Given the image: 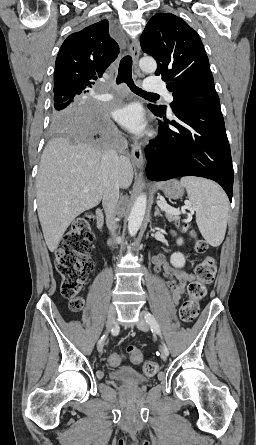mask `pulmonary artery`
<instances>
[{"label": "pulmonary artery", "mask_w": 256, "mask_h": 445, "mask_svg": "<svg viewBox=\"0 0 256 445\" xmlns=\"http://www.w3.org/2000/svg\"><path fill=\"white\" fill-rule=\"evenodd\" d=\"M144 88L147 92H162L166 95V100L171 103L173 98L165 89L164 82L159 77H148L145 81ZM113 98L110 94L102 95V99L105 101L111 100Z\"/></svg>", "instance_id": "obj_1"}]
</instances>
